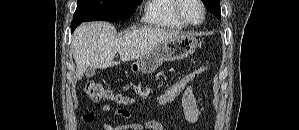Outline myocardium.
Instances as JSON below:
<instances>
[{"mask_svg": "<svg viewBox=\"0 0 299 130\" xmlns=\"http://www.w3.org/2000/svg\"><path fill=\"white\" fill-rule=\"evenodd\" d=\"M183 2H184V0H175V14H176L177 18L179 19V21L181 23H183L184 25L189 26V27H198V26H200L204 22L205 17H206V8H205V5H204L203 1L202 0H196V2L199 4V6L201 8V11H202L201 19L197 23H192V22L188 21L185 18V16L182 13V4H183Z\"/></svg>", "mask_w": 299, "mask_h": 130, "instance_id": "myocardium-1", "label": "myocardium"}]
</instances>
